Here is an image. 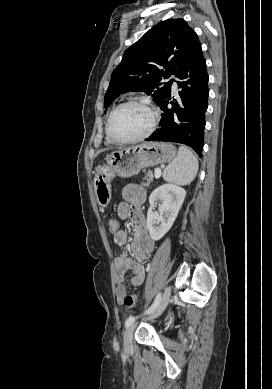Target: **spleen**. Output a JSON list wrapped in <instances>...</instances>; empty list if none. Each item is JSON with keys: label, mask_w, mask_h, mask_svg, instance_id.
<instances>
[{"label": "spleen", "mask_w": 272, "mask_h": 389, "mask_svg": "<svg viewBox=\"0 0 272 389\" xmlns=\"http://www.w3.org/2000/svg\"><path fill=\"white\" fill-rule=\"evenodd\" d=\"M199 163L193 152L180 146L177 157L164 169L163 179L177 185H188L196 177Z\"/></svg>", "instance_id": "1"}]
</instances>
